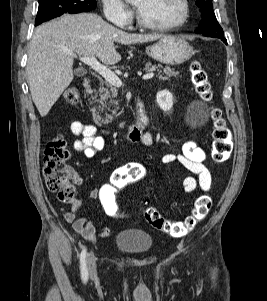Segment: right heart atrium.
Segmentation results:
<instances>
[{
    "instance_id": "1",
    "label": "right heart atrium",
    "mask_w": 267,
    "mask_h": 301,
    "mask_svg": "<svg viewBox=\"0 0 267 301\" xmlns=\"http://www.w3.org/2000/svg\"><path fill=\"white\" fill-rule=\"evenodd\" d=\"M104 16L121 27L129 25L132 14L120 0H102Z\"/></svg>"
}]
</instances>
